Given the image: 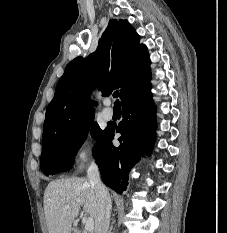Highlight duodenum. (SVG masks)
<instances>
[{"label": "duodenum", "instance_id": "410a0bca", "mask_svg": "<svg viewBox=\"0 0 227 233\" xmlns=\"http://www.w3.org/2000/svg\"><path fill=\"white\" fill-rule=\"evenodd\" d=\"M72 233H78V232L74 231V232H72Z\"/></svg>", "mask_w": 227, "mask_h": 233}]
</instances>
